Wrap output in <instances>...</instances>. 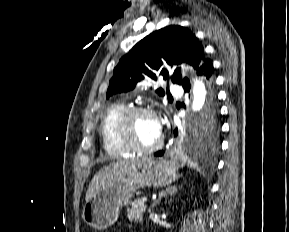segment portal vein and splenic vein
Masks as SVG:
<instances>
[{
    "instance_id": "18ae733b",
    "label": "portal vein and splenic vein",
    "mask_w": 289,
    "mask_h": 232,
    "mask_svg": "<svg viewBox=\"0 0 289 232\" xmlns=\"http://www.w3.org/2000/svg\"><path fill=\"white\" fill-rule=\"evenodd\" d=\"M142 202L146 203L147 202V198L146 197L142 198Z\"/></svg>"
}]
</instances>
